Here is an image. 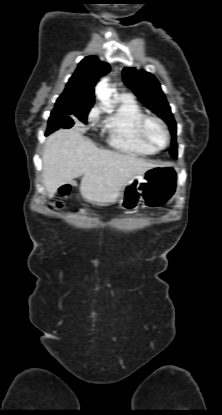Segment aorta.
Segmentation results:
<instances>
[{"mask_svg": "<svg viewBox=\"0 0 222 415\" xmlns=\"http://www.w3.org/2000/svg\"><path fill=\"white\" fill-rule=\"evenodd\" d=\"M96 96L105 107L110 106L112 89L109 86L108 78L104 77L96 86Z\"/></svg>", "mask_w": 222, "mask_h": 415, "instance_id": "aorta-1", "label": "aorta"}]
</instances>
